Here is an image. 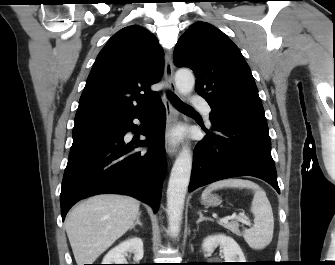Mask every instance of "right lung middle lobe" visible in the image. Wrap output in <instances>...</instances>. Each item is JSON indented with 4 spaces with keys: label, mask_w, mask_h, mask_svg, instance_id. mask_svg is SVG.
<instances>
[{
    "label": "right lung middle lobe",
    "mask_w": 335,
    "mask_h": 265,
    "mask_svg": "<svg viewBox=\"0 0 335 265\" xmlns=\"http://www.w3.org/2000/svg\"><path fill=\"white\" fill-rule=\"evenodd\" d=\"M111 126L112 124H90V125L74 126L73 137L94 133L101 130H106Z\"/></svg>",
    "instance_id": "obj_1"
}]
</instances>
